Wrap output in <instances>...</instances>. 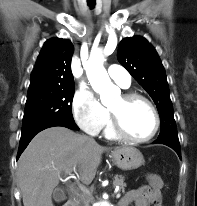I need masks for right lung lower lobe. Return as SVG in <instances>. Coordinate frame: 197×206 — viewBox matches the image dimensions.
<instances>
[{"label": "right lung lower lobe", "instance_id": "98d812e1", "mask_svg": "<svg viewBox=\"0 0 197 206\" xmlns=\"http://www.w3.org/2000/svg\"><path fill=\"white\" fill-rule=\"evenodd\" d=\"M54 126H63L66 128H69L71 130H78V126L75 124V122L70 121H48L44 123H40L34 127H31L27 130L22 131L20 144H19V150L17 154V159L21 155V153L25 150L29 142L32 140V138L39 133L40 131Z\"/></svg>", "mask_w": 197, "mask_h": 206}]
</instances>
